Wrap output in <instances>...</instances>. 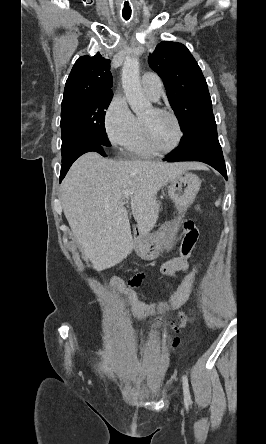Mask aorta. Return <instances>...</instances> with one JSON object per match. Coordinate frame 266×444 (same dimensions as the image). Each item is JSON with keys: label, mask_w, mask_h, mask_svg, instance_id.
<instances>
[{"label": "aorta", "mask_w": 266, "mask_h": 444, "mask_svg": "<svg viewBox=\"0 0 266 444\" xmlns=\"http://www.w3.org/2000/svg\"><path fill=\"white\" fill-rule=\"evenodd\" d=\"M122 87L132 111L140 116L151 108L150 102L145 98L140 84L139 59L126 58L122 67Z\"/></svg>", "instance_id": "762f6f07"}]
</instances>
